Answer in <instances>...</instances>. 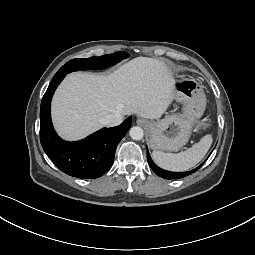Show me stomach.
<instances>
[{"label": "stomach", "instance_id": "stomach-1", "mask_svg": "<svg viewBox=\"0 0 255 255\" xmlns=\"http://www.w3.org/2000/svg\"><path fill=\"white\" fill-rule=\"evenodd\" d=\"M174 99L183 104L182 113L147 122L149 144L154 150L178 151L188 142L194 123L203 115L206 98L202 87L193 79L177 82Z\"/></svg>", "mask_w": 255, "mask_h": 255}]
</instances>
